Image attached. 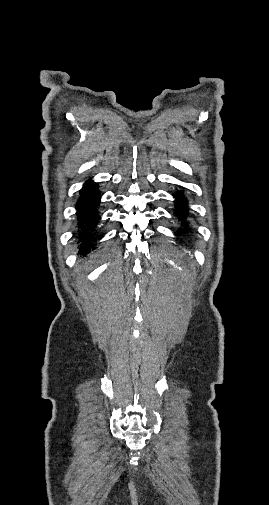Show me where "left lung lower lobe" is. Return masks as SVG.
<instances>
[{
    "mask_svg": "<svg viewBox=\"0 0 269 505\" xmlns=\"http://www.w3.org/2000/svg\"><path fill=\"white\" fill-rule=\"evenodd\" d=\"M175 196L176 199V210L175 214L179 221H181V228H179V233H185L189 230V224L187 221L188 218V207L187 201L181 193H177Z\"/></svg>",
    "mask_w": 269,
    "mask_h": 505,
    "instance_id": "left-lung-lower-lobe-1",
    "label": "left lung lower lobe"
}]
</instances>
